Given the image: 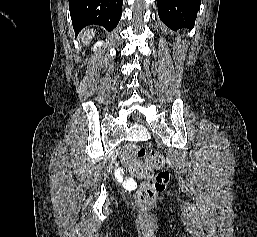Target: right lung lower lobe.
<instances>
[{"instance_id":"obj_1","label":"right lung lower lobe","mask_w":257,"mask_h":237,"mask_svg":"<svg viewBox=\"0 0 257 237\" xmlns=\"http://www.w3.org/2000/svg\"><path fill=\"white\" fill-rule=\"evenodd\" d=\"M122 3L123 0H69L75 33L93 24L113 30L121 18Z\"/></svg>"}]
</instances>
